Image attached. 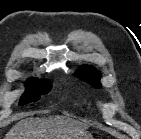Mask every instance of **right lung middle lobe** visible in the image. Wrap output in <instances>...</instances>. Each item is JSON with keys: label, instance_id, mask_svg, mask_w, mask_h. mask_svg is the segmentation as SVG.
Segmentation results:
<instances>
[{"label": "right lung middle lobe", "instance_id": "dd1d6c3e", "mask_svg": "<svg viewBox=\"0 0 141 139\" xmlns=\"http://www.w3.org/2000/svg\"><path fill=\"white\" fill-rule=\"evenodd\" d=\"M51 84L48 81H39L36 79H30L27 83V90L22 95L20 105H24L30 102H36L41 94L49 92Z\"/></svg>", "mask_w": 141, "mask_h": 139}]
</instances>
